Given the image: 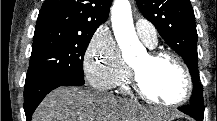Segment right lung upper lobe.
Masks as SVG:
<instances>
[{
  "instance_id": "cb5924a9",
  "label": "right lung upper lobe",
  "mask_w": 217,
  "mask_h": 121,
  "mask_svg": "<svg viewBox=\"0 0 217 121\" xmlns=\"http://www.w3.org/2000/svg\"><path fill=\"white\" fill-rule=\"evenodd\" d=\"M111 0H45L36 28L59 26L78 32H95L109 14Z\"/></svg>"
}]
</instances>
